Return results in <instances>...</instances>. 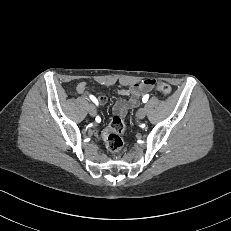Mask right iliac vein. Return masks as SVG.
Here are the masks:
<instances>
[{
    "label": "right iliac vein",
    "mask_w": 231,
    "mask_h": 231,
    "mask_svg": "<svg viewBox=\"0 0 231 231\" xmlns=\"http://www.w3.org/2000/svg\"><path fill=\"white\" fill-rule=\"evenodd\" d=\"M88 111H89V114L91 116H95L96 115V108L93 104H90L89 107H88Z\"/></svg>",
    "instance_id": "right-iliac-vein-1"
}]
</instances>
